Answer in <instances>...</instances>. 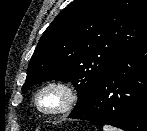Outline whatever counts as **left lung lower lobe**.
Segmentation results:
<instances>
[{"mask_svg":"<svg viewBox=\"0 0 147 131\" xmlns=\"http://www.w3.org/2000/svg\"><path fill=\"white\" fill-rule=\"evenodd\" d=\"M69 118L147 131V39L115 60L90 101Z\"/></svg>","mask_w":147,"mask_h":131,"instance_id":"1","label":"left lung lower lobe"}]
</instances>
